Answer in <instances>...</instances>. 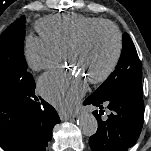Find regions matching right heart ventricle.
I'll return each mask as SVG.
<instances>
[{
    "label": "right heart ventricle",
    "instance_id": "e07e8e85",
    "mask_svg": "<svg viewBox=\"0 0 151 151\" xmlns=\"http://www.w3.org/2000/svg\"><path fill=\"white\" fill-rule=\"evenodd\" d=\"M105 20L80 14H61L45 17L38 21L41 36L64 52L65 47L89 26Z\"/></svg>",
    "mask_w": 151,
    "mask_h": 151
}]
</instances>
